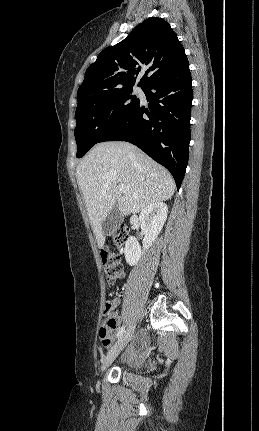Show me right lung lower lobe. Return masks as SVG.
Segmentation results:
<instances>
[{"label":"right lung lower lobe","mask_w":259,"mask_h":431,"mask_svg":"<svg viewBox=\"0 0 259 431\" xmlns=\"http://www.w3.org/2000/svg\"><path fill=\"white\" fill-rule=\"evenodd\" d=\"M191 82L189 64L155 81L143 89L150 111L138 104L100 142L138 146L171 172L179 189L189 156Z\"/></svg>","instance_id":"98d812e1"}]
</instances>
